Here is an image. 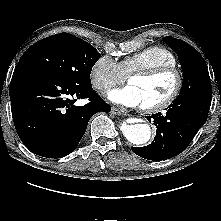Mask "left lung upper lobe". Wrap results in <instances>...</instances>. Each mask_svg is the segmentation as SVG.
Segmentation results:
<instances>
[{"label": "left lung upper lobe", "instance_id": "5c2ea615", "mask_svg": "<svg viewBox=\"0 0 221 221\" xmlns=\"http://www.w3.org/2000/svg\"><path fill=\"white\" fill-rule=\"evenodd\" d=\"M163 40L177 53L183 70V84L176 100L186 99L211 88L207 64L200 53L180 39L167 36Z\"/></svg>", "mask_w": 221, "mask_h": 221}]
</instances>
